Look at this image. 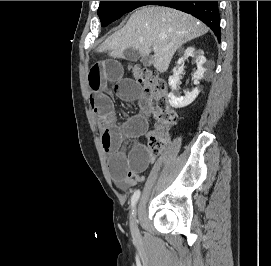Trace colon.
I'll return each mask as SVG.
<instances>
[{"label":"colon","instance_id":"1","mask_svg":"<svg viewBox=\"0 0 271 266\" xmlns=\"http://www.w3.org/2000/svg\"><path fill=\"white\" fill-rule=\"evenodd\" d=\"M130 70L136 82L151 95L150 105L158 125L149 135L148 145L152 153H160L168 141L165 129L176 123V113L169 104L167 84L156 71L137 64L131 65Z\"/></svg>","mask_w":271,"mask_h":266}]
</instances>
